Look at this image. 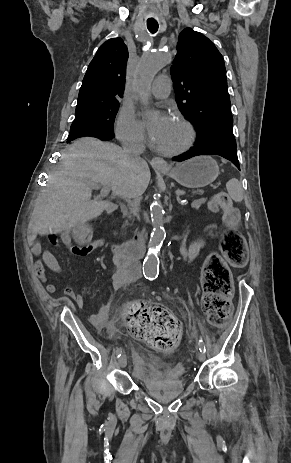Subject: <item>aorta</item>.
<instances>
[{
  "instance_id": "obj_1",
  "label": "aorta",
  "mask_w": 291,
  "mask_h": 463,
  "mask_svg": "<svg viewBox=\"0 0 291 463\" xmlns=\"http://www.w3.org/2000/svg\"><path fill=\"white\" fill-rule=\"evenodd\" d=\"M172 60L169 52H147L140 60L135 76V88L143 105L148 106L151 84L156 74ZM151 224L153 231L149 241V251L143 263L146 277H155L159 271L158 250L166 233L164 229V210L160 201L151 206Z\"/></svg>"
}]
</instances>
